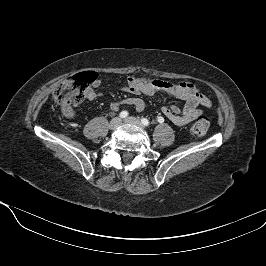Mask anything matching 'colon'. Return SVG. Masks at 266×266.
<instances>
[{"label":"colon","mask_w":266,"mask_h":266,"mask_svg":"<svg viewBox=\"0 0 266 266\" xmlns=\"http://www.w3.org/2000/svg\"><path fill=\"white\" fill-rule=\"evenodd\" d=\"M97 79L94 72L76 74L60 84L53 94V101L62 109L72 108L86 97V91ZM209 128V121L200 117L191 127L190 134L193 138L203 137Z\"/></svg>","instance_id":"colon-1"}]
</instances>
